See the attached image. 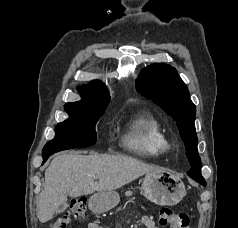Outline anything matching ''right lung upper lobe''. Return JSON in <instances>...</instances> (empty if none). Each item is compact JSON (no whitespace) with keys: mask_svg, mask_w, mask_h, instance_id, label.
I'll return each instance as SVG.
<instances>
[{"mask_svg":"<svg viewBox=\"0 0 238 228\" xmlns=\"http://www.w3.org/2000/svg\"><path fill=\"white\" fill-rule=\"evenodd\" d=\"M81 101L67 103L65 110L70 113H89L97 105L108 103L110 100L109 93L105 85L97 80L91 82L89 86L80 87Z\"/></svg>","mask_w":238,"mask_h":228,"instance_id":"obj_1","label":"right lung upper lobe"}]
</instances>
